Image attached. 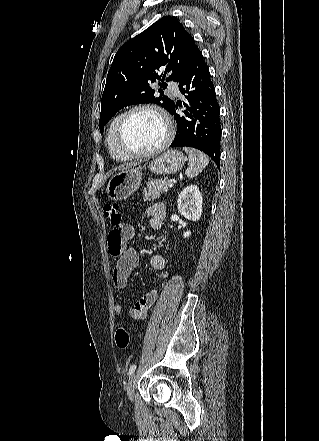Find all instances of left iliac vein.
Masks as SVG:
<instances>
[{"label":"left iliac vein","instance_id":"1","mask_svg":"<svg viewBox=\"0 0 319 441\" xmlns=\"http://www.w3.org/2000/svg\"><path fill=\"white\" fill-rule=\"evenodd\" d=\"M136 381H137L136 375L133 374V375L130 377V379H129L128 383H127V386H126V392H127V395H128V398H129L131 401L134 400L135 389H136Z\"/></svg>","mask_w":319,"mask_h":441}]
</instances>
